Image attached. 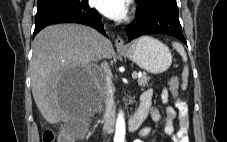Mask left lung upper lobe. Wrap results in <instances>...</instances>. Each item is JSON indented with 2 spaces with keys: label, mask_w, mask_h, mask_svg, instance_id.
<instances>
[{
  "label": "left lung upper lobe",
  "mask_w": 227,
  "mask_h": 142,
  "mask_svg": "<svg viewBox=\"0 0 227 142\" xmlns=\"http://www.w3.org/2000/svg\"><path fill=\"white\" fill-rule=\"evenodd\" d=\"M136 2L140 5V9H138L137 12L146 11L154 6H161L178 11L176 0H136Z\"/></svg>",
  "instance_id": "left-lung-upper-lobe-1"
}]
</instances>
